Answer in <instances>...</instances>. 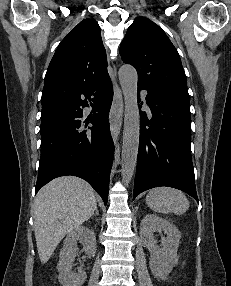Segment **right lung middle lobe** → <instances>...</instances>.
<instances>
[{
	"instance_id": "dd1d6c3e",
	"label": "right lung middle lobe",
	"mask_w": 231,
	"mask_h": 286,
	"mask_svg": "<svg viewBox=\"0 0 231 286\" xmlns=\"http://www.w3.org/2000/svg\"><path fill=\"white\" fill-rule=\"evenodd\" d=\"M64 112L65 110H63L62 107L42 109L41 122L56 117Z\"/></svg>"
}]
</instances>
